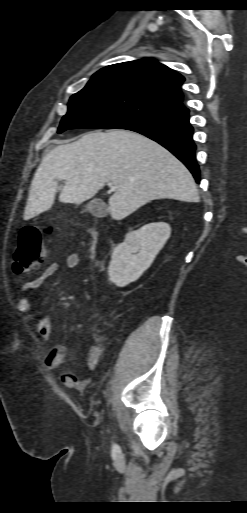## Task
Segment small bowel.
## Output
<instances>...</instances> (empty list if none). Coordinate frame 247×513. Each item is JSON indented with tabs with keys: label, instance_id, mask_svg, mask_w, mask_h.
I'll return each instance as SVG.
<instances>
[{
	"label": "small bowel",
	"instance_id": "1",
	"mask_svg": "<svg viewBox=\"0 0 247 513\" xmlns=\"http://www.w3.org/2000/svg\"><path fill=\"white\" fill-rule=\"evenodd\" d=\"M80 264V257L77 253H69L65 258L66 268L72 270L78 268ZM58 263L52 261L48 264L45 270L36 278L32 279L21 289V294L18 300V310L24 314L30 321L34 323L35 329L39 336L44 341H49L51 338V323L44 317H39L32 311L30 293L42 284H44L50 277H52L58 270ZM101 348L94 345L88 349L85 357V365L89 370H94L101 359ZM67 355V348L63 344L54 345L51 351L44 359L46 367L50 370H57L65 361ZM61 381L66 387L82 389L87 386V380H80L77 376L70 372L62 373Z\"/></svg>",
	"mask_w": 247,
	"mask_h": 513
}]
</instances>
